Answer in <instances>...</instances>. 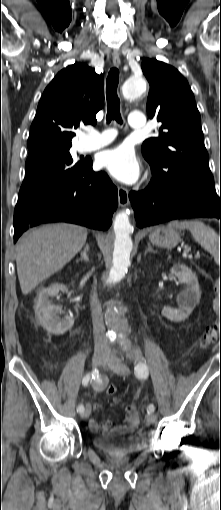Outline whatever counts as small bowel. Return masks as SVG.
I'll list each match as a JSON object with an SVG mask.
<instances>
[{"mask_svg":"<svg viewBox=\"0 0 221 510\" xmlns=\"http://www.w3.org/2000/svg\"><path fill=\"white\" fill-rule=\"evenodd\" d=\"M96 388L99 389L100 385H97ZM101 407L102 406L99 403H94L93 404V409L95 411L100 410ZM133 411H137L136 408L133 405H129V406H127L125 408V412L127 414V419L121 425L113 426V424L111 422H109V421L100 423L95 418H91L89 420V427L93 431H96V432L101 433V434H119L120 435V434L132 432L133 430H135V428L137 426V422L136 421H131L130 420V415H131V413Z\"/></svg>","mask_w":221,"mask_h":510,"instance_id":"small-bowel-1","label":"small bowel"}]
</instances>
